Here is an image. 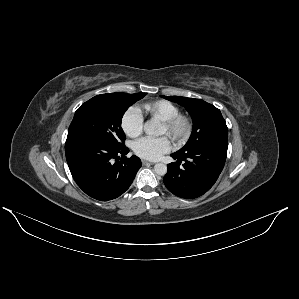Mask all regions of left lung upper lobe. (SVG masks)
Returning a JSON list of instances; mask_svg holds the SVG:
<instances>
[{
    "label": "left lung upper lobe",
    "mask_w": 299,
    "mask_h": 299,
    "mask_svg": "<svg viewBox=\"0 0 299 299\" xmlns=\"http://www.w3.org/2000/svg\"><path fill=\"white\" fill-rule=\"evenodd\" d=\"M162 97L184 106L193 120V130L188 142L176 153H184L209 140L228 138L226 122L220 110L212 104L195 98Z\"/></svg>",
    "instance_id": "left-lung-upper-lobe-1"
}]
</instances>
